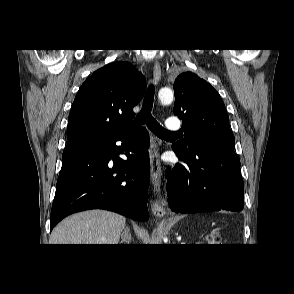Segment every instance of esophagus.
<instances>
[{
    "label": "esophagus",
    "instance_id": "34e87169",
    "mask_svg": "<svg viewBox=\"0 0 294 294\" xmlns=\"http://www.w3.org/2000/svg\"><path fill=\"white\" fill-rule=\"evenodd\" d=\"M161 80V66L155 61L153 65V81L157 85ZM161 164L159 159V150L156 141L152 142V152H151V181L153 184L154 191L160 194L161 185ZM152 213L156 217H162L165 214L164 200H156L151 207Z\"/></svg>",
    "mask_w": 294,
    "mask_h": 294
}]
</instances>
